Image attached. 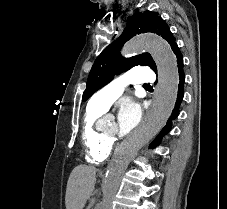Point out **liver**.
Instances as JSON below:
<instances>
[{
    "label": "liver",
    "mask_w": 227,
    "mask_h": 209,
    "mask_svg": "<svg viewBox=\"0 0 227 209\" xmlns=\"http://www.w3.org/2000/svg\"><path fill=\"white\" fill-rule=\"evenodd\" d=\"M94 167L78 165L73 169L67 183L66 209H83L95 185Z\"/></svg>",
    "instance_id": "obj_1"
}]
</instances>
